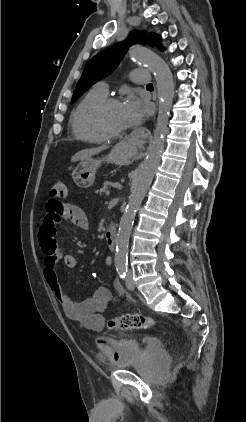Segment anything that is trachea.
<instances>
[{
    "mask_svg": "<svg viewBox=\"0 0 246 422\" xmlns=\"http://www.w3.org/2000/svg\"><path fill=\"white\" fill-rule=\"evenodd\" d=\"M147 87H153V84L150 83V84L147 85Z\"/></svg>",
    "mask_w": 246,
    "mask_h": 422,
    "instance_id": "1",
    "label": "trachea"
}]
</instances>
